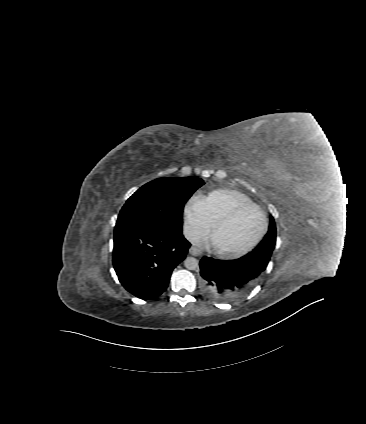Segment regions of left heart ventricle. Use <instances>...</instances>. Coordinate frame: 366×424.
<instances>
[{
    "label": "left heart ventricle",
    "instance_id": "1",
    "mask_svg": "<svg viewBox=\"0 0 366 424\" xmlns=\"http://www.w3.org/2000/svg\"><path fill=\"white\" fill-rule=\"evenodd\" d=\"M262 226L263 219L260 212L255 209H248L230 223L218 228L214 235V242L224 249H241L255 240Z\"/></svg>",
    "mask_w": 366,
    "mask_h": 424
}]
</instances>
